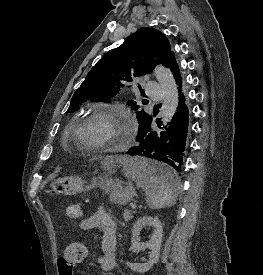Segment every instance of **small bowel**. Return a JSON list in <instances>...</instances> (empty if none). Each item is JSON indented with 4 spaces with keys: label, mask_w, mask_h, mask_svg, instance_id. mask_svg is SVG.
<instances>
[{
    "label": "small bowel",
    "mask_w": 263,
    "mask_h": 275,
    "mask_svg": "<svg viewBox=\"0 0 263 275\" xmlns=\"http://www.w3.org/2000/svg\"><path fill=\"white\" fill-rule=\"evenodd\" d=\"M82 230L98 229L101 232V253L96 259L103 271L110 272L116 264V235L117 225L114 219L104 208H99L90 216L80 222ZM91 267L94 264H90ZM59 274L63 275L60 271Z\"/></svg>",
    "instance_id": "c3829d8e"
}]
</instances>
